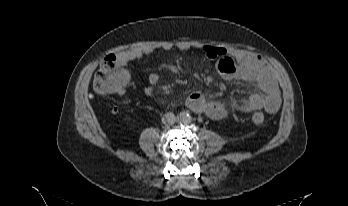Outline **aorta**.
<instances>
[{
	"mask_svg": "<svg viewBox=\"0 0 348 206\" xmlns=\"http://www.w3.org/2000/svg\"><path fill=\"white\" fill-rule=\"evenodd\" d=\"M177 120L181 124H188L191 121L190 115L187 113H180Z\"/></svg>",
	"mask_w": 348,
	"mask_h": 206,
	"instance_id": "aorta-1",
	"label": "aorta"
}]
</instances>
